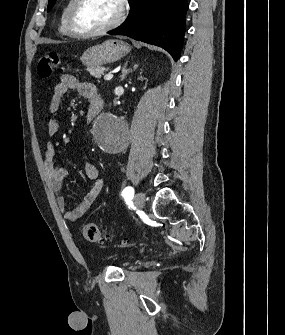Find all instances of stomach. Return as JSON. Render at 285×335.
I'll use <instances>...</instances> for the list:
<instances>
[{
	"instance_id": "stomach-1",
	"label": "stomach",
	"mask_w": 285,
	"mask_h": 335,
	"mask_svg": "<svg viewBox=\"0 0 285 335\" xmlns=\"http://www.w3.org/2000/svg\"><path fill=\"white\" fill-rule=\"evenodd\" d=\"M129 44L123 40H106L103 44H97L92 48H87L83 52L80 60L84 66H94V68H103L104 64H113L118 62L123 56L130 52Z\"/></svg>"
}]
</instances>
